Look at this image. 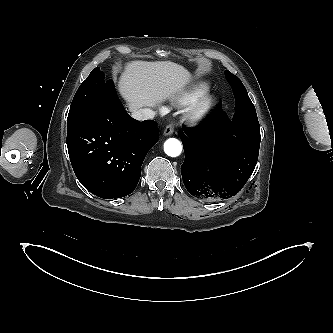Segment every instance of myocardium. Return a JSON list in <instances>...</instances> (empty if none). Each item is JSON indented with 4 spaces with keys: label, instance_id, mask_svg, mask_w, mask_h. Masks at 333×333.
I'll return each instance as SVG.
<instances>
[{
    "label": "myocardium",
    "instance_id": "myocardium-1",
    "mask_svg": "<svg viewBox=\"0 0 333 333\" xmlns=\"http://www.w3.org/2000/svg\"><path fill=\"white\" fill-rule=\"evenodd\" d=\"M219 104V98L215 95H204L192 106L188 119L193 125H200L207 121L215 112Z\"/></svg>",
    "mask_w": 333,
    "mask_h": 333
}]
</instances>
